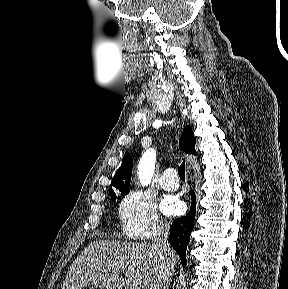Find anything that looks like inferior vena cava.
Masks as SVG:
<instances>
[{
  "instance_id": "inferior-vena-cava-1",
  "label": "inferior vena cava",
  "mask_w": 288,
  "mask_h": 289,
  "mask_svg": "<svg viewBox=\"0 0 288 289\" xmlns=\"http://www.w3.org/2000/svg\"><path fill=\"white\" fill-rule=\"evenodd\" d=\"M168 235L169 225H162L154 245V248L158 253L164 266L162 275L165 280H168L172 276L175 264L173 260V250L169 244Z\"/></svg>"
}]
</instances>
